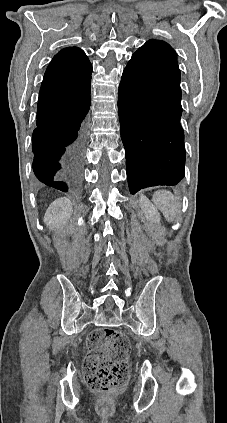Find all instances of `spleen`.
<instances>
[{
    "mask_svg": "<svg viewBox=\"0 0 227 423\" xmlns=\"http://www.w3.org/2000/svg\"><path fill=\"white\" fill-rule=\"evenodd\" d=\"M152 200L156 208L162 211L167 221H174L175 217L180 213L181 202L174 194H171V192L158 190V192H155Z\"/></svg>",
    "mask_w": 227,
    "mask_h": 423,
    "instance_id": "3e777b00",
    "label": "spleen"
}]
</instances>
